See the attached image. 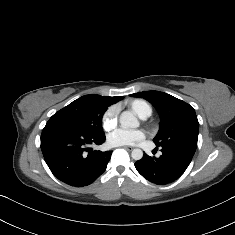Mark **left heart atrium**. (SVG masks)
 Wrapping results in <instances>:
<instances>
[{"label": "left heart atrium", "instance_id": "left-heart-atrium-1", "mask_svg": "<svg viewBox=\"0 0 235 235\" xmlns=\"http://www.w3.org/2000/svg\"><path fill=\"white\" fill-rule=\"evenodd\" d=\"M145 137L146 134L143 130L129 131L125 129H116L108 134L107 143L113 147L130 146L143 141Z\"/></svg>", "mask_w": 235, "mask_h": 235}]
</instances>
